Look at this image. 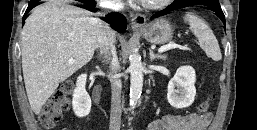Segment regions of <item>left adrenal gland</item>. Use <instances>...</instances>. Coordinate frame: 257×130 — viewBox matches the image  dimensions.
<instances>
[{"mask_svg":"<svg viewBox=\"0 0 257 130\" xmlns=\"http://www.w3.org/2000/svg\"><path fill=\"white\" fill-rule=\"evenodd\" d=\"M149 56H150V61H154L156 59H163L166 60V55H161V54H154L153 50L149 48Z\"/></svg>","mask_w":257,"mask_h":130,"instance_id":"1","label":"left adrenal gland"}]
</instances>
